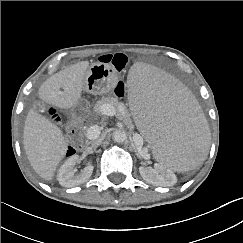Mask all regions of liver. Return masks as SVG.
Segmentation results:
<instances>
[{
	"label": "liver",
	"instance_id": "liver-1",
	"mask_svg": "<svg viewBox=\"0 0 243 243\" xmlns=\"http://www.w3.org/2000/svg\"><path fill=\"white\" fill-rule=\"evenodd\" d=\"M89 61L78 62L52 75L39 88V97L58 108L75 107L81 100ZM23 144L34 171L43 179L53 178L66 154L68 142L61 129L30 109L24 124Z\"/></svg>",
	"mask_w": 243,
	"mask_h": 243
}]
</instances>
